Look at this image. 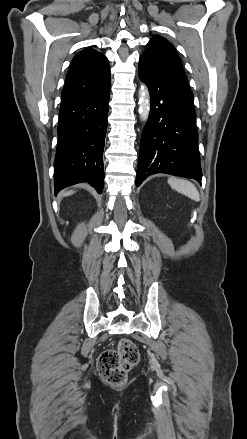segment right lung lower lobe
I'll return each instance as SVG.
<instances>
[{
    "mask_svg": "<svg viewBox=\"0 0 247 439\" xmlns=\"http://www.w3.org/2000/svg\"><path fill=\"white\" fill-rule=\"evenodd\" d=\"M109 96L110 83L97 91L61 101L54 162L55 194L79 182H88L102 192Z\"/></svg>",
    "mask_w": 247,
    "mask_h": 439,
    "instance_id": "obj_1",
    "label": "right lung lower lobe"
}]
</instances>
